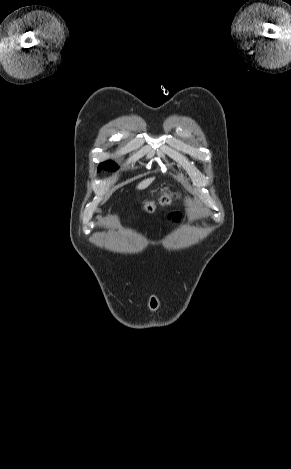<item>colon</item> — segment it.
Listing matches in <instances>:
<instances>
[{"label":"colon","mask_w":291,"mask_h":469,"mask_svg":"<svg viewBox=\"0 0 291 469\" xmlns=\"http://www.w3.org/2000/svg\"><path fill=\"white\" fill-rule=\"evenodd\" d=\"M174 196H175V194H174L173 192H171V191H164V192L160 195V197L158 198V203H160V204H167V203H169V202L173 199ZM155 205H156V201H154V200H149V201H147V202L145 203V206H144V207H145L146 211L151 212V211L154 210Z\"/></svg>","instance_id":"5ec220e1"}]
</instances>
